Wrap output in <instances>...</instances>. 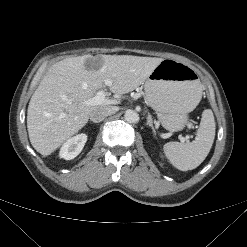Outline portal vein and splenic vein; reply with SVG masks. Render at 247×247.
<instances>
[{
  "mask_svg": "<svg viewBox=\"0 0 247 247\" xmlns=\"http://www.w3.org/2000/svg\"><path fill=\"white\" fill-rule=\"evenodd\" d=\"M110 84H111V81L107 80L106 85H110ZM105 96H106L105 90L101 89L97 91L96 95L93 98L89 99L86 103L88 105H100L103 103H109V100H107ZM180 141L184 142L185 137H180Z\"/></svg>",
  "mask_w": 247,
  "mask_h": 247,
  "instance_id": "1",
  "label": "portal vein and splenic vein"
}]
</instances>
